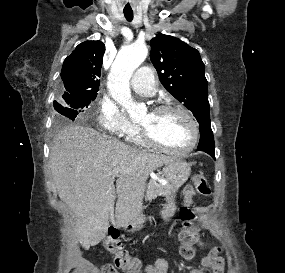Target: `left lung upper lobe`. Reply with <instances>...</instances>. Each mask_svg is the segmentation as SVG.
Here are the masks:
<instances>
[{
  "label": "left lung upper lobe",
  "mask_w": 285,
  "mask_h": 273,
  "mask_svg": "<svg viewBox=\"0 0 285 273\" xmlns=\"http://www.w3.org/2000/svg\"><path fill=\"white\" fill-rule=\"evenodd\" d=\"M151 62L166 90L182 102L199 122L210 121L205 65L199 52L173 36L151 40Z\"/></svg>",
  "instance_id": "left-lung-upper-lobe-1"
}]
</instances>
